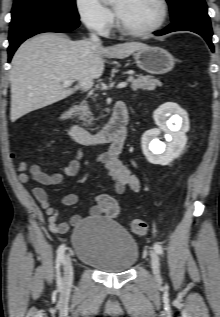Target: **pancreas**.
I'll return each mask as SVG.
<instances>
[{
    "mask_svg": "<svg viewBox=\"0 0 220 317\" xmlns=\"http://www.w3.org/2000/svg\"><path fill=\"white\" fill-rule=\"evenodd\" d=\"M137 78L130 76L127 81L131 83L132 90L143 89L148 91H153L161 83L159 79L154 78L149 75H136ZM80 119L87 122L84 125H90L92 121L91 111L88 106H84L82 112L80 113Z\"/></svg>",
    "mask_w": 220,
    "mask_h": 317,
    "instance_id": "obj_1",
    "label": "pancreas"
}]
</instances>
